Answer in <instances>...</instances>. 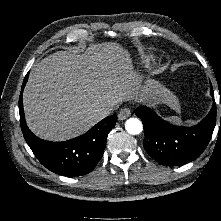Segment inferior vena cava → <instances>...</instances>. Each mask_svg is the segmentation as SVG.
I'll list each match as a JSON object with an SVG mask.
<instances>
[{
    "instance_id": "inferior-vena-cava-1",
    "label": "inferior vena cava",
    "mask_w": 221,
    "mask_h": 221,
    "mask_svg": "<svg viewBox=\"0 0 221 221\" xmlns=\"http://www.w3.org/2000/svg\"><path fill=\"white\" fill-rule=\"evenodd\" d=\"M110 109L109 108H104V107H99V108H96L94 111H93V115L96 117V118H102V117H105L107 116L108 114H110Z\"/></svg>"
}]
</instances>
